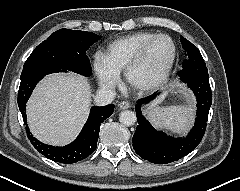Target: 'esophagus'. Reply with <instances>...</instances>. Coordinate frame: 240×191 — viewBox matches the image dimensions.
Wrapping results in <instances>:
<instances>
[{
  "mask_svg": "<svg viewBox=\"0 0 240 191\" xmlns=\"http://www.w3.org/2000/svg\"><path fill=\"white\" fill-rule=\"evenodd\" d=\"M130 107V103L128 101H122L121 103H119V108L124 110V109H128Z\"/></svg>",
  "mask_w": 240,
  "mask_h": 191,
  "instance_id": "1",
  "label": "esophagus"
}]
</instances>
